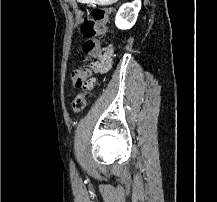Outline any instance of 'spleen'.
Wrapping results in <instances>:
<instances>
[{
	"label": "spleen",
	"mask_w": 217,
	"mask_h": 202,
	"mask_svg": "<svg viewBox=\"0 0 217 202\" xmlns=\"http://www.w3.org/2000/svg\"><path fill=\"white\" fill-rule=\"evenodd\" d=\"M87 5H116V0H83Z\"/></svg>",
	"instance_id": "obj_1"
}]
</instances>
